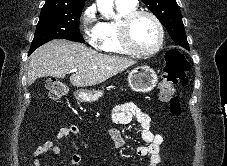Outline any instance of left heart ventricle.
<instances>
[{
	"instance_id": "b2bd125f",
	"label": "left heart ventricle",
	"mask_w": 227,
	"mask_h": 166,
	"mask_svg": "<svg viewBox=\"0 0 227 166\" xmlns=\"http://www.w3.org/2000/svg\"><path fill=\"white\" fill-rule=\"evenodd\" d=\"M130 40L139 49L147 50L157 41V29L148 16L138 17L130 27Z\"/></svg>"
}]
</instances>
